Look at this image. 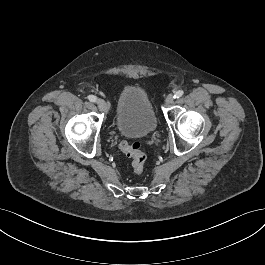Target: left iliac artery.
<instances>
[{
    "label": "left iliac artery",
    "instance_id": "1",
    "mask_svg": "<svg viewBox=\"0 0 265 265\" xmlns=\"http://www.w3.org/2000/svg\"><path fill=\"white\" fill-rule=\"evenodd\" d=\"M183 94H184L183 90H178V91L174 94V98H180Z\"/></svg>",
    "mask_w": 265,
    "mask_h": 265
}]
</instances>
